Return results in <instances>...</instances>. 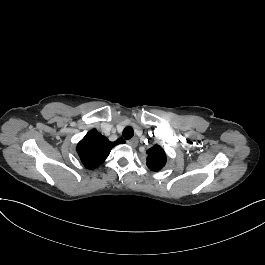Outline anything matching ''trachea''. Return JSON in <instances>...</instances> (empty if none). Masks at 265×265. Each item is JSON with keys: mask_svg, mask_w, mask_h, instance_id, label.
<instances>
[{"mask_svg": "<svg viewBox=\"0 0 265 265\" xmlns=\"http://www.w3.org/2000/svg\"><path fill=\"white\" fill-rule=\"evenodd\" d=\"M123 137L126 139V140H129L132 138V136L134 135V130L133 128L131 127H126L124 130H123Z\"/></svg>", "mask_w": 265, "mask_h": 265, "instance_id": "1", "label": "trachea"}]
</instances>
